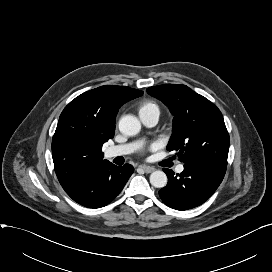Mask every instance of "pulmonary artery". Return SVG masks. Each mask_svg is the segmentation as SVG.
I'll return each mask as SVG.
<instances>
[{
  "mask_svg": "<svg viewBox=\"0 0 272 272\" xmlns=\"http://www.w3.org/2000/svg\"><path fill=\"white\" fill-rule=\"evenodd\" d=\"M140 120L147 127H153L157 124L159 120V112L152 111L148 113L139 114ZM138 147V143H128L123 145L111 146L105 151V156L107 158H114L118 156L128 155L134 152ZM184 170V165L179 164L176 167L177 172H182Z\"/></svg>",
  "mask_w": 272,
  "mask_h": 272,
  "instance_id": "obj_1",
  "label": "pulmonary artery"
}]
</instances>
